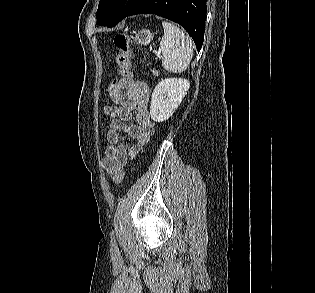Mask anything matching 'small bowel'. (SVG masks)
Returning a JSON list of instances; mask_svg holds the SVG:
<instances>
[{
  "mask_svg": "<svg viewBox=\"0 0 315 293\" xmlns=\"http://www.w3.org/2000/svg\"><path fill=\"white\" fill-rule=\"evenodd\" d=\"M119 80V90L109 94L114 104L104 107V114L111 119V123L106 133L109 145L105 150L103 166L112 174L122 170L128 160L138 154L154 131L148 111L147 84L125 77ZM133 117L135 124H128ZM121 135L129 137L135 143L130 147L120 143Z\"/></svg>",
  "mask_w": 315,
  "mask_h": 293,
  "instance_id": "1",
  "label": "small bowel"
}]
</instances>
